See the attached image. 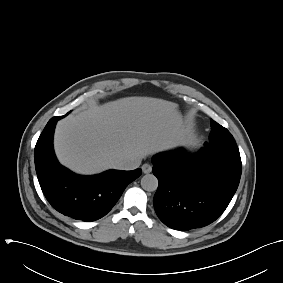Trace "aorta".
Segmentation results:
<instances>
[{"label": "aorta", "mask_w": 283, "mask_h": 283, "mask_svg": "<svg viewBox=\"0 0 283 283\" xmlns=\"http://www.w3.org/2000/svg\"><path fill=\"white\" fill-rule=\"evenodd\" d=\"M141 187L145 191L153 192L158 187V179L153 174H146L141 179Z\"/></svg>", "instance_id": "obj_1"}]
</instances>
